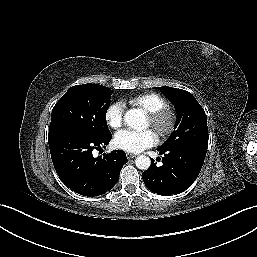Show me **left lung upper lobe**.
Wrapping results in <instances>:
<instances>
[{
    "label": "left lung upper lobe",
    "mask_w": 257,
    "mask_h": 257,
    "mask_svg": "<svg viewBox=\"0 0 257 257\" xmlns=\"http://www.w3.org/2000/svg\"><path fill=\"white\" fill-rule=\"evenodd\" d=\"M177 112L175 131L160 149L194 148L207 152L208 127L206 114L196 98L188 91L160 87Z\"/></svg>",
    "instance_id": "obj_1"
}]
</instances>
